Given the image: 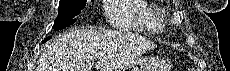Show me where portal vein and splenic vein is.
<instances>
[{"label": "portal vein and splenic vein", "instance_id": "1", "mask_svg": "<svg viewBox=\"0 0 230 71\" xmlns=\"http://www.w3.org/2000/svg\"><path fill=\"white\" fill-rule=\"evenodd\" d=\"M98 56H101V57H102V56H103V54H102V53H99V54H98Z\"/></svg>", "mask_w": 230, "mask_h": 71}]
</instances>
